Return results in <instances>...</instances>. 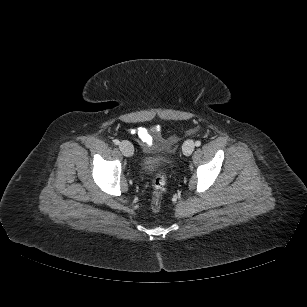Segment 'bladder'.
I'll use <instances>...</instances> for the list:
<instances>
[{
  "label": "bladder",
  "mask_w": 307,
  "mask_h": 307,
  "mask_svg": "<svg viewBox=\"0 0 307 307\" xmlns=\"http://www.w3.org/2000/svg\"><path fill=\"white\" fill-rule=\"evenodd\" d=\"M172 162L171 157H163L161 155L146 156L141 163L140 171L144 176H150L161 165H170Z\"/></svg>",
  "instance_id": "obj_1"
}]
</instances>
